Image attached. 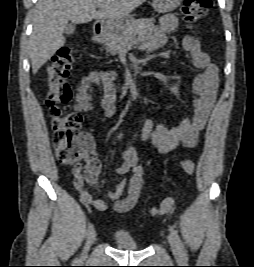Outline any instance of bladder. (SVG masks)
Returning a JSON list of instances; mask_svg holds the SVG:
<instances>
[{"mask_svg": "<svg viewBox=\"0 0 254 267\" xmlns=\"http://www.w3.org/2000/svg\"><path fill=\"white\" fill-rule=\"evenodd\" d=\"M112 241L121 250L135 251L140 248L134 237L124 231H116L112 236Z\"/></svg>", "mask_w": 254, "mask_h": 267, "instance_id": "31cf9c89", "label": "bladder"}]
</instances>
